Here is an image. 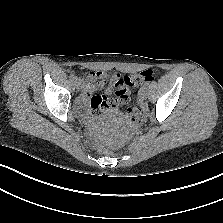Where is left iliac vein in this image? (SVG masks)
Segmentation results:
<instances>
[{
    "label": "left iliac vein",
    "instance_id": "1",
    "mask_svg": "<svg viewBox=\"0 0 223 223\" xmlns=\"http://www.w3.org/2000/svg\"><path fill=\"white\" fill-rule=\"evenodd\" d=\"M147 97V91L146 88H143L140 94V99L145 100Z\"/></svg>",
    "mask_w": 223,
    "mask_h": 223
}]
</instances>
